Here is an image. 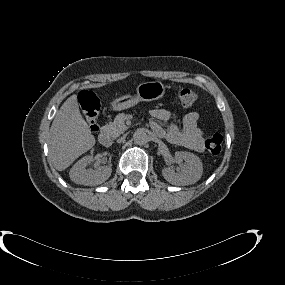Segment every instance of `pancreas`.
<instances>
[{"instance_id": "cf45deb5", "label": "pancreas", "mask_w": 285, "mask_h": 285, "mask_svg": "<svg viewBox=\"0 0 285 285\" xmlns=\"http://www.w3.org/2000/svg\"><path fill=\"white\" fill-rule=\"evenodd\" d=\"M126 114H118L113 122L104 126V130L112 137L116 138L122 134L128 127L125 125Z\"/></svg>"}]
</instances>
